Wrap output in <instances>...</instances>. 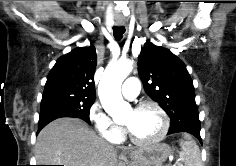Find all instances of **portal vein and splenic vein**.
I'll return each mask as SVG.
<instances>
[{
    "label": "portal vein and splenic vein",
    "instance_id": "portal-vein-and-splenic-vein-1",
    "mask_svg": "<svg viewBox=\"0 0 236 166\" xmlns=\"http://www.w3.org/2000/svg\"><path fill=\"white\" fill-rule=\"evenodd\" d=\"M177 165H178V166H182V165H180V163H177ZM174 166H175V165H174Z\"/></svg>",
    "mask_w": 236,
    "mask_h": 166
}]
</instances>
